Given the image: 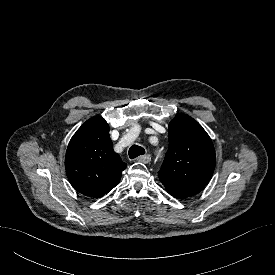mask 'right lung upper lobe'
Segmentation results:
<instances>
[{"instance_id": "right-lung-upper-lobe-1", "label": "right lung upper lobe", "mask_w": 275, "mask_h": 275, "mask_svg": "<svg viewBox=\"0 0 275 275\" xmlns=\"http://www.w3.org/2000/svg\"><path fill=\"white\" fill-rule=\"evenodd\" d=\"M65 168L73 188L90 197H102L120 181L126 164L113 150L109 126L101 116L87 120L71 138Z\"/></svg>"}]
</instances>
